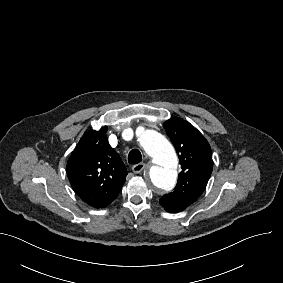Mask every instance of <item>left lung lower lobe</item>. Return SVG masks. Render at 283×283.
<instances>
[{
  "mask_svg": "<svg viewBox=\"0 0 283 283\" xmlns=\"http://www.w3.org/2000/svg\"><path fill=\"white\" fill-rule=\"evenodd\" d=\"M164 208H165V210L168 211V212H173V211H171L170 209H168L167 207H164Z\"/></svg>",
  "mask_w": 283,
  "mask_h": 283,
  "instance_id": "left-lung-lower-lobe-1",
  "label": "left lung lower lobe"
}]
</instances>
